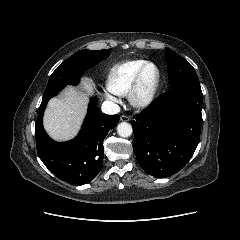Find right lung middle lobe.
I'll return each mask as SVG.
<instances>
[{
  "label": "right lung middle lobe",
  "mask_w": 240,
  "mask_h": 240,
  "mask_svg": "<svg viewBox=\"0 0 240 240\" xmlns=\"http://www.w3.org/2000/svg\"><path fill=\"white\" fill-rule=\"evenodd\" d=\"M109 55V49L80 50L65 60L49 78L43 98L52 97L66 85H76L82 72Z\"/></svg>",
  "instance_id": "1"
}]
</instances>
